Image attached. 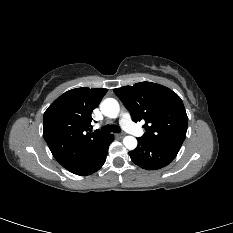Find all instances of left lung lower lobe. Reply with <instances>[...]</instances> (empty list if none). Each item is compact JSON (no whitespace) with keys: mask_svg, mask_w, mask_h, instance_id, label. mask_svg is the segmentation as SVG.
Returning a JSON list of instances; mask_svg holds the SVG:
<instances>
[{"mask_svg":"<svg viewBox=\"0 0 233 233\" xmlns=\"http://www.w3.org/2000/svg\"><path fill=\"white\" fill-rule=\"evenodd\" d=\"M180 143H153L138 139V146L130 151L131 160L141 168L157 170L167 166L181 148Z\"/></svg>","mask_w":233,"mask_h":233,"instance_id":"obj_1","label":"left lung lower lobe"}]
</instances>
